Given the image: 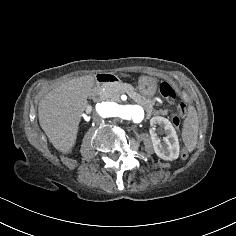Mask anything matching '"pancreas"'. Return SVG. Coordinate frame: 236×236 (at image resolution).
<instances>
[{
  "label": "pancreas",
  "instance_id": "cf45deb5",
  "mask_svg": "<svg viewBox=\"0 0 236 236\" xmlns=\"http://www.w3.org/2000/svg\"><path fill=\"white\" fill-rule=\"evenodd\" d=\"M123 93H126L131 99H133L136 103L142 106L147 116H158V115H167L168 110H156L154 106H160V104L156 103L155 100L145 97L138 93L131 84L117 82L109 89H106L101 99L104 101H113L119 102V96Z\"/></svg>",
  "mask_w": 236,
  "mask_h": 236
}]
</instances>
